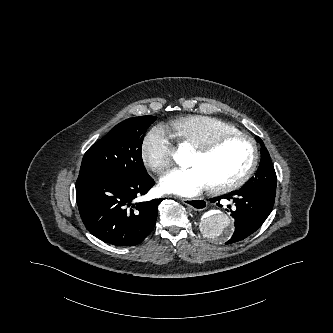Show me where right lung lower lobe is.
Listing matches in <instances>:
<instances>
[{"mask_svg": "<svg viewBox=\"0 0 333 333\" xmlns=\"http://www.w3.org/2000/svg\"><path fill=\"white\" fill-rule=\"evenodd\" d=\"M154 185L147 174L140 179L117 176L78 178L76 200L87 230L115 246H134L154 228L162 199L135 203Z\"/></svg>", "mask_w": 333, "mask_h": 333, "instance_id": "right-lung-lower-lobe-1", "label": "right lung lower lobe"}]
</instances>
